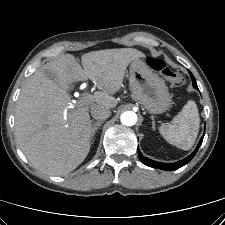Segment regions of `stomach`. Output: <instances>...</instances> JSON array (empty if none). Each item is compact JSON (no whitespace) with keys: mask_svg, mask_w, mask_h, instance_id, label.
<instances>
[{"mask_svg":"<svg viewBox=\"0 0 225 225\" xmlns=\"http://www.w3.org/2000/svg\"><path fill=\"white\" fill-rule=\"evenodd\" d=\"M129 85L132 99L151 114H161L171 105V96L164 80L140 58L130 64Z\"/></svg>","mask_w":225,"mask_h":225,"instance_id":"obj_1","label":"stomach"}]
</instances>
